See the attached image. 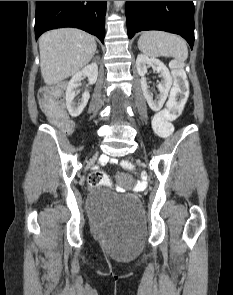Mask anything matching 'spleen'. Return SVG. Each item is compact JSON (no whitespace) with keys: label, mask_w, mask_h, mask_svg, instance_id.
I'll use <instances>...</instances> for the list:
<instances>
[{"label":"spleen","mask_w":233,"mask_h":295,"mask_svg":"<svg viewBox=\"0 0 233 295\" xmlns=\"http://www.w3.org/2000/svg\"><path fill=\"white\" fill-rule=\"evenodd\" d=\"M138 48L150 57H174L181 62L188 57L185 40L178 35L164 31L143 32L138 40Z\"/></svg>","instance_id":"obj_1"}]
</instances>
